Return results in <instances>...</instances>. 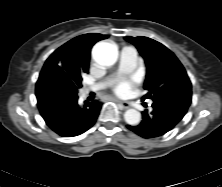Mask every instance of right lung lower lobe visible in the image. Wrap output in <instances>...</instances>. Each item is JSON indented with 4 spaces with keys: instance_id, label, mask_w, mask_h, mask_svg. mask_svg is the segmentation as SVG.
I'll return each instance as SVG.
<instances>
[{
    "instance_id": "right-lung-lower-lobe-1",
    "label": "right lung lower lobe",
    "mask_w": 222,
    "mask_h": 187,
    "mask_svg": "<svg viewBox=\"0 0 222 187\" xmlns=\"http://www.w3.org/2000/svg\"><path fill=\"white\" fill-rule=\"evenodd\" d=\"M78 91L70 89L56 70H43L36 84L37 106L44 121L55 133L73 137L94 125L102 103H77Z\"/></svg>"
}]
</instances>
